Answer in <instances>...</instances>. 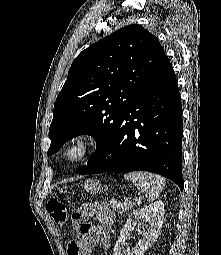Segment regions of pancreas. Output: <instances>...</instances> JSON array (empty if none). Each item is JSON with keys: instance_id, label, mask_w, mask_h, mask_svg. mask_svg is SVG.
I'll return each instance as SVG.
<instances>
[{"instance_id": "pancreas-1", "label": "pancreas", "mask_w": 221, "mask_h": 255, "mask_svg": "<svg viewBox=\"0 0 221 255\" xmlns=\"http://www.w3.org/2000/svg\"><path fill=\"white\" fill-rule=\"evenodd\" d=\"M111 208L119 214H122L126 210H129L133 207V204H130L127 200L124 201H117L111 200L110 201Z\"/></svg>"}]
</instances>
